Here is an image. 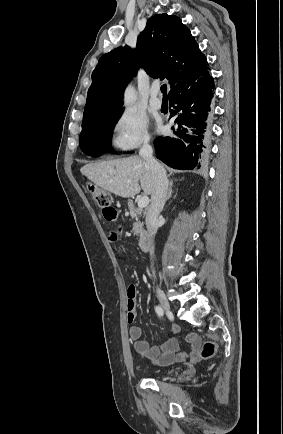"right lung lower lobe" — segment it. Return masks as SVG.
I'll list each match as a JSON object with an SVG mask.
<instances>
[{"mask_svg": "<svg viewBox=\"0 0 283 434\" xmlns=\"http://www.w3.org/2000/svg\"><path fill=\"white\" fill-rule=\"evenodd\" d=\"M215 89L213 78L199 87L169 98L173 135L154 140L156 157L176 169H193L204 158L210 137V105Z\"/></svg>", "mask_w": 283, "mask_h": 434, "instance_id": "obj_1", "label": "right lung lower lobe"}]
</instances>
